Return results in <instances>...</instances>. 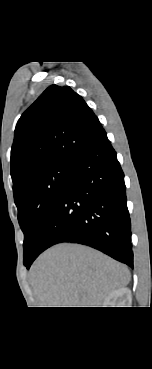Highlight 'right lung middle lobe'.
Instances as JSON below:
<instances>
[{
  "label": "right lung middle lobe",
  "instance_id": "1",
  "mask_svg": "<svg viewBox=\"0 0 152 369\" xmlns=\"http://www.w3.org/2000/svg\"><path fill=\"white\" fill-rule=\"evenodd\" d=\"M71 162H57L28 174L13 191L24 233V262L34 253L43 227L64 186Z\"/></svg>",
  "mask_w": 152,
  "mask_h": 369
}]
</instances>
